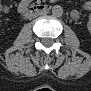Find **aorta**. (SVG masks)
Listing matches in <instances>:
<instances>
[{"label":"aorta","mask_w":91,"mask_h":91,"mask_svg":"<svg viewBox=\"0 0 91 91\" xmlns=\"http://www.w3.org/2000/svg\"><path fill=\"white\" fill-rule=\"evenodd\" d=\"M52 14L54 17H61L63 15V8L59 5H56L52 8Z\"/></svg>","instance_id":"aorta-1"}]
</instances>
